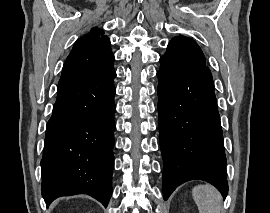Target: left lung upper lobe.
Masks as SVG:
<instances>
[{
    "label": "left lung upper lobe",
    "mask_w": 270,
    "mask_h": 213,
    "mask_svg": "<svg viewBox=\"0 0 270 213\" xmlns=\"http://www.w3.org/2000/svg\"><path fill=\"white\" fill-rule=\"evenodd\" d=\"M160 70L168 72L202 71L211 75L198 44L182 35L174 37L160 58Z\"/></svg>",
    "instance_id": "1"
}]
</instances>
